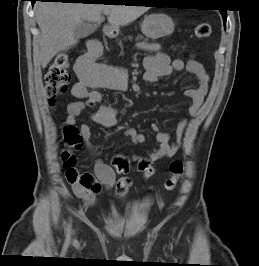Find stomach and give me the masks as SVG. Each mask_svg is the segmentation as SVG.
<instances>
[{"label":"stomach","mask_w":259,"mask_h":266,"mask_svg":"<svg viewBox=\"0 0 259 266\" xmlns=\"http://www.w3.org/2000/svg\"><path fill=\"white\" fill-rule=\"evenodd\" d=\"M114 31L117 32L118 29H114ZM141 31L146 37L155 40L172 34L174 31V23L165 14H152L144 18Z\"/></svg>","instance_id":"0dacf381"}]
</instances>
